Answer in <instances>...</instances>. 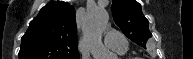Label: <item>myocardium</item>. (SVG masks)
<instances>
[{
	"mask_svg": "<svg viewBox=\"0 0 193 59\" xmlns=\"http://www.w3.org/2000/svg\"><path fill=\"white\" fill-rule=\"evenodd\" d=\"M121 59H142V58H137V57H122Z\"/></svg>",
	"mask_w": 193,
	"mask_h": 59,
	"instance_id": "1",
	"label": "myocardium"
}]
</instances>
